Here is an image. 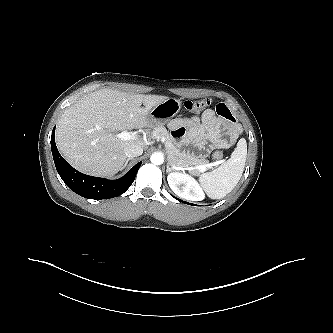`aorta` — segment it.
I'll return each instance as SVG.
<instances>
[{
  "instance_id": "762f6f07",
  "label": "aorta",
  "mask_w": 333,
  "mask_h": 333,
  "mask_svg": "<svg viewBox=\"0 0 333 333\" xmlns=\"http://www.w3.org/2000/svg\"><path fill=\"white\" fill-rule=\"evenodd\" d=\"M150 160L153 164L160 165V164L163 163L164 157L161 153H154V154L151 155Z\"/></svg>"
}]
</instances>
